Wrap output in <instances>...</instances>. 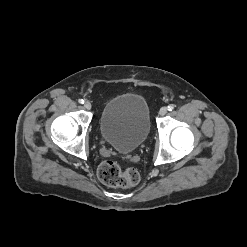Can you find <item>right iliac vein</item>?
<instances>
[{
	"label": "right iliac vein",
	"instance_id": "right-iliac-vein-1",
	"mask_svg": "<svg viewBox=\"0 0 247 247\" xmlns=\"http://www.w3.org/2000/svg\"><path fill=\"white\" fill-rule=\"evenodd\" d=\"M84 107H85V109L90 110L91 107H92V105H91V103H90L89 101H86V102L84 103Z\"/></svg>",
	"mask_w": 247,
	"mask_h": 247
}]
</instances>
